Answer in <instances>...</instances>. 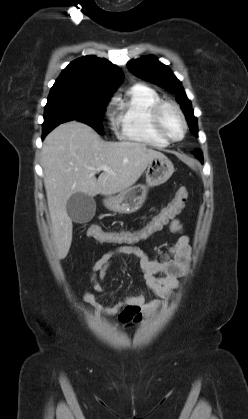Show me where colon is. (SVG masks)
<instances>
[{
  "instance_id": "1",
  "label": "colon",
  "mask_w": 248,
  "mask_h": 419,
  "mask_svg": "<svg viewBox=\"0 0 248 419\" xmlns=\"http://www.w3.org/2000/svg\"><path fill=\"white\" fill-rule=\"evenodd\" d=\"M188 198V190L186 187H180L172 200L162 208V210L153 216L148 222V230L156 232L160 230L165 224L172 220L183 208ZM90 237L99 242H118L126 243L132 240V238L124 233L108 232L98 226L91 227L89 229Z\"/></svg>"
}]
</instances>
